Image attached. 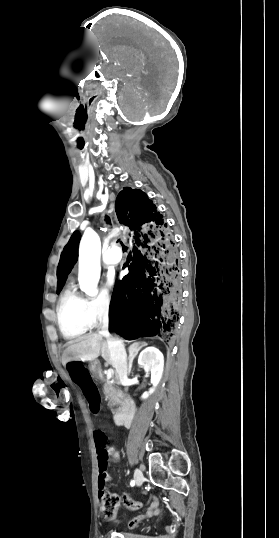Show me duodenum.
I'll return each mask as SVG.
<instances>
[{
  "instance_id": "obj_1",
  "label": "duodenum",
  "mask_w": 279,
  "mask_h": 538,
  "mask_svg": "<svg viewBox=\"0 0 279 538\" xmlns=\"http://www.w3.org/2000/svg\"><path fill=\"white\" fill-rule=\"evenodd\" d=\"M93 372L95 374H98L100 372L99 366L97 364H94L92 366ZM128 399H132V396H128ZM119 405L122 408H116L114 410V417L110 419V422L113 424V428L115 429H127L131 428V423H134V414L132 410V406H135V401L131 400H121L119 402Z\"/></svg>"
}]
</instances>
